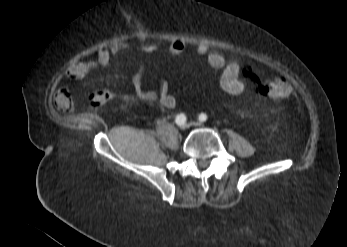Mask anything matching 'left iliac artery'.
<instances>
[{
    "mask_svg": "<svg viewBox=\"0 0 347 247\" xmlns=\"http://www.w3.org/2000/svg\"><path fill=\"white\" fill-rule=\"evenodd\" d=\"M199 120H200L201 122H205V121L207 120V115L204 114V113H201V114L199 115Z\"/></svg>",
    "mask_w": 347,
    "mask_h": 247,
    "instance_id": "44dca946",
    "label": "left iliac artery"
}]
</instances>
